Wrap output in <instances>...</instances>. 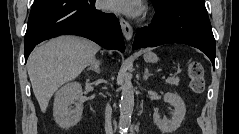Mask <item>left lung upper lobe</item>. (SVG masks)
I'll use <instances>...</instances> for the list:
<instances>
[{"label": "left lung upper lobe", "mask_w": 239, "mask_h": 134, "mask_svg": "<svg viewBox=\"0 0 239 134\" xmlns=\"http://www.w3.org/2000/svg\"><path fill=\"white\" fill-rule=\"evenodd\" d=\"M173 1H175V0H152L155 8L158 10H162V9L166 8Z\"/></svg>", "instance_id": "1"}]
</instances>
